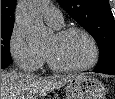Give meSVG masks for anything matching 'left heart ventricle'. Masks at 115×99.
<instances>
[{
	"label": "left heart ventricle",
	"mask_w": 115,
	"mask_h": 99,
	"mask_svg": "<svg viewBox=\"0 0 115 99\" xmlns=\"http://www.w3.org/2000/svg\"><path fill=\"white\" fill-rule=\"evenodd\" d=\"M44 51L60 66L83 65L90 60L92 54L89 42L79 33L61 38L52 36Z\"/></svg>",
	"instance_id": "1"
}]
</instances>
